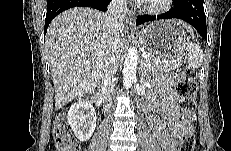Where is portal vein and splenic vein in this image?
<instances>
[{
	"mask_svg": "<svg viewBox=\"0 0 231 151\" xmlns=\"http://www.w3.org/2000/svg\"><path fill=\"white\" fill-rule=\"evenodd\" d=\"M142 57L147 58V57H149V54L143 53V54H142ZM162 61H163V62H169L168 59H162Z\"/></svg>",
	"mask_w": 231,
	"mask_h": 151,
	"instance_id": "1",
	"label": "portal vein and splenic vein"
}]
</instances>
